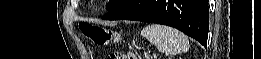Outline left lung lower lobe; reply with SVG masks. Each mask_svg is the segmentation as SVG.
Returning <instances> with one entry per match:
<instances>
[{
  "label": "left lung lower lobe",
  "instance_id": "1",
  "mask_svg": "<svg viewBox=\"0 0 261 59\" xmlns=\"http://www.w3.org/2000/svg\"><path fill=\"white\" fill-rule=\"evenodd\" d=\"M105 20L154 22L177 28L207 45L208 0H124L102 17Z\"/></svg>",
  "mask_w": 261,
  "mask_h": 59
}]
</instances>
